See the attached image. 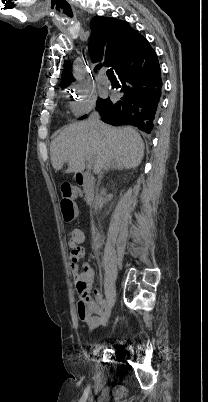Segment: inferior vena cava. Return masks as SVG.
<instances>
[{"label":"inferior vena cava","instance_id":"602c4592","mask_svg":"<svg viewBox=\"0 0 208 402\" xmlns=\"http://www.w3.org/2000/svg\"><path fill=\"white\" fill-rule=\"evenodd\" d=\"M88 124H90V126H94V128H100V126H102V122H100V116L98 114V112H92L91 116H89L88 118ZM110 158H111V152H110V148L109 146H105V150H103V152H101L100 156H98V168H100V170H107V166H108V162H110ZM100 174H103V172H100ZM99 180L98 182H100V178H102V176H98ZM99 186V184H98ZM98 192V188L96 190V198H95V206H98L99 202H100V196L99 194H97Z\"/></svg>","mask_w":208,"mask_h":402}]
</instances>
